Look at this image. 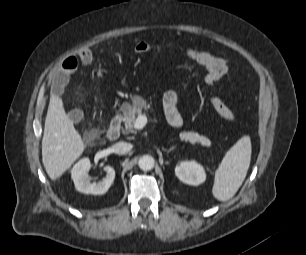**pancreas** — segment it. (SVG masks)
Segmentation results:
<instances>
[{"instance_id":"obj_1","label":"pancreas","mask_w":306,"mask_h":255,"mask_svg":"<svg viewBox=\"0 0 306 255\" xmlns=\"http://www.w3.org/2000/svg\"><path fill=\"white\" fill-rule=\"evenodd\" d=\"M146 104L144 101L141 103H134V105L124 104L122 106V112L124 114L123 122L124 128L122 132L124 134L134 133V122L137 116L142 115V108H145ZM202 137L206 138L205 136L199 135L197 132L192 131H183L179 133V138L181 141L190 142L191 144H202L203 146L210 147L211 141L206 138L208 141L204 142Z\"/></svg>"}]
</instances>
